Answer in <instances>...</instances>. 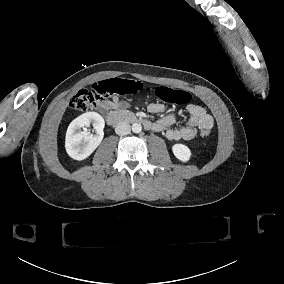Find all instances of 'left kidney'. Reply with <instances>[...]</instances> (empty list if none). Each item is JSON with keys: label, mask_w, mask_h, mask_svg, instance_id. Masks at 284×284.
<instances>
[{"label": "left kidney", "mask_w": 284, "mask_h": 284, "mask_svg": "<svg viewBox=\"0 0 284 284\" xmlns=\"http://www.w3.org/2000/svg\"><path fill=\"white\" fill-rule=\"evenodd\" d=\"M171 149L174 157L182 163H188L193 156L191 149L183 143H175Z\"/></svg>", "instance_id": "1"}]
</instances>
